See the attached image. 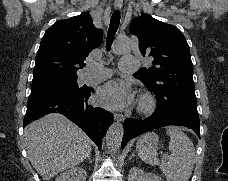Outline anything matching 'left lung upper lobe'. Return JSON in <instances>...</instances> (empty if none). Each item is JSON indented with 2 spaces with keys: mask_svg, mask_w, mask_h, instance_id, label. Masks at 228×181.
<instances>
[{
  "mask_svg": "<svg viewBox=\"0 0 228 181\" xmlns=\"http://www.w3.org/2000/svg\"><path fill=\"white\" fill-rule=\"evenodd\" d=\"M130 32L138 37L142 55L153 59L152 66L140 68L134 77L154 92L158 107L198 115L190 48L181 31L142 14L132 21Z\"/></svg>",
  "mask_w": 228,
  "mask_h": 181,
  "instance_id": "left-lung-upper-lobe-1",
  "label": "left lung upper lobe"
}]
</instances>
